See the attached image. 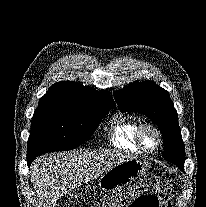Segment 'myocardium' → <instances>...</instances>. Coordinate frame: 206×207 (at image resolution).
<instances>
[{
  "label": "myocardium",
  "mask_w": 206,
  "mask_h": 207,
  "mask_svg": "<svg viewBox=\"0 0 206 207\" xmlns=\"http://www.w3.org/2000/svg\"><path fill=\"white\" fill-rule=\"evenodd\" d=\"M146 129L152 130L157 137V142L155 146L152 148L147 147L143 140V133ZM135 138H136V143L138 144V146L142 149L143 152H146V153H153L157 151L163 142V136H162L160 129L155 124L150 123V122H144L138 126L136 130Z\"/></svg>",
  "instance_id": "obj_1"
}]
</instances>
